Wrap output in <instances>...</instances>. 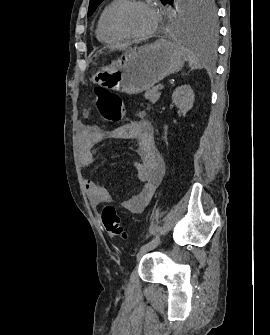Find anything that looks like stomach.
<instances>
[{"label": "stomach", "instance_id": "0dacf381", "mask_svg": "<svg viewBox=\"0 0 270 335\" xmlns=\"http://www.w3.org/2000/svg\"><path fill=\"white\" fill-rule=\"evenodd\" d=\"M185 60V54L177 44L156 40L155 44L125 52L110 68L97 72L93 82L113 92L140 94L169 74L182 70Z\"/></svg>", "mask_w": 270, "mask_h": 335}]
</instances>
